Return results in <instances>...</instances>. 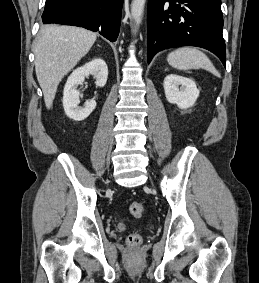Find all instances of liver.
I'll return each instance as SVG.
<instances>
[{
    "instance_id": "liver-1",
    "label": "liver",
    "mask_w": 259,
    "mask_h": 283,
    "mask_svg": "<svg viewBox=\"0 0 259 283\" xmlns=\"http://www.w3.org/2000/svg\"><path fill=\"white\" fill-rule=\"evenodd\" d=\"M96 33L67 25H46L35 46V71L50 109L57 87L96 41Z\"/></svg>"
}]
</instances>
